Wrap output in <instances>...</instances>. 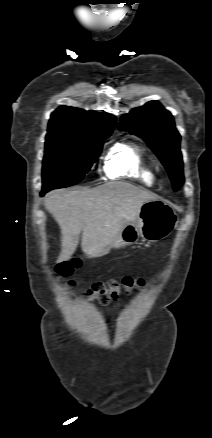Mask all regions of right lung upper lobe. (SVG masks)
Here are the masks:
<instances>
[{
  "mask_svg": "<svg viewBox=\"0 0 212 438\" xmlns=\"http://www.w3.org/2000/svg\"><path fill=\"white\" fill-rule=\"evenodd\" d=\"M115 126L116 119L110 114H98L79 108L61 106L51 114L47 135L105 136L111 135Z\"/></svg>",
  "mask_w": 212,
  "mask_h": 438,
  "instance_id": "1",
  "label": "right lung upper lobe"
}]
</instances>
